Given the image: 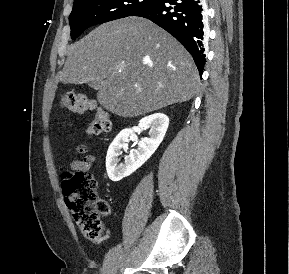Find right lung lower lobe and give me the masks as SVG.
<instances>
[{"label":"right lung lower lobe","instance_id":"obj_1","mask_svg":"<svg viewBox=\"0 0 289 274\" xmlns=\"http://www.w3.org/2000/svg\"><path fill=\"white\" fill-rule=\"evenodd\" d=\"M135 16L147 18L173 35L191 54L202 75L206 61L203 0H155Z\"/></svg>","mask_w":289,"mask_h":274}]
</instances>
